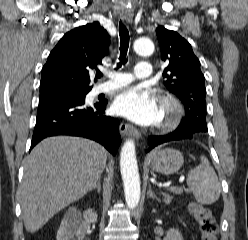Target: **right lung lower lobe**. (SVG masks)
I'll return each instance as SVG.
<instances>
[{"label":"right lung lower lobe","mask_w":248,"mask_h":240,"mask_svg":"<svg viewBox=\"0 0 248 240\" xmlns=\"http://www.w3.org/2000/svg\"><path fill=\"white\" fill-rule=\"evenodd\" d=\"M84 104L85 99L67 97L39 101L30 150L46 137L72 135L95 140L115 155L121 143L119 120L105 115L106 100Z\"/></svg>","instance_id":"right-lung-lower-lobe-1"}]
</instances>
